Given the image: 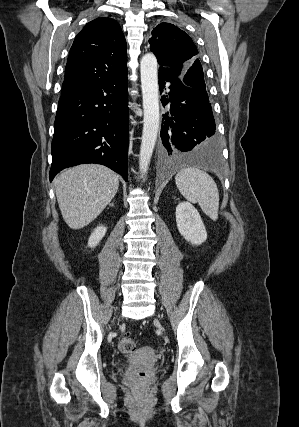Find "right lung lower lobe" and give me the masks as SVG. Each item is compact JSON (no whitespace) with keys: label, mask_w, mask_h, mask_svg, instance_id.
<instances>
[{"label":"right lung lower lobe","mask_w":299,"mask_h":427,"mask_svg":"<svg viewBox=\"0 0 299 427\" xmlns=\"http://www.w3.org/2000/svg\"><path fill=\"white\" fill-rule=\"evenodd\" d=\"M127 70L59 99L50 181L62 169L103 164L127 181L129 133Z\"/></svg>","instance_id":"98d812e1"}]
</instances>
